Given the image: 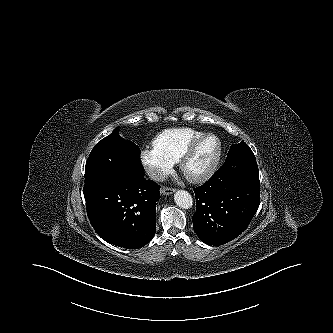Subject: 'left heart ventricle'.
Returning <instances> with one entry per match:
<instances>
[{
  "instance_id": "obj_1",
  "label": "left heart ventricle",
  "mask_w": 333,
  "mask_h": 333,
  "mask_svg": "<svg viewBox=\"0 0 333 333\" xmlns=\"http://www.w3.org/2000/svg\"><path fill=\"white\" fill-rule=\"evenodd\" d=\"M216 148L217 144L214 139L206 140L190 161L188 171L196 173L204 169L213 158Z\"/></svg>"
}]
</instances>
